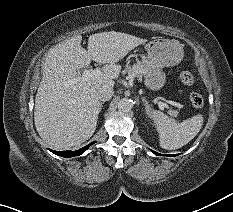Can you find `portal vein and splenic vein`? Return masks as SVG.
Returning <instances> with one entry per match:
<instances>
[{
	"mask_svg": "<svg viewBox=\"0 0 233 212\" xmlns=\"http://www.w3.org/2000/svg\"><path fill=\"white\" fill-rule=\"evenodd\" d=\"M100 75V70L99 69H95V70H85L82 74V76H78L76 78L70 79L67 81V85H73L78 83L80 80H89L91 78H94L96 76ZM157 104L159 106L160 109H165L167 108V104L161 102V101H157Z\"/></svg>",
	"mask_w": 233,
	"mask_h": 212,
	"instance_id": "portal-vein-and-splenic-vein-1",
	"label": "portal vein and splenic vein"
}]
</instances>
